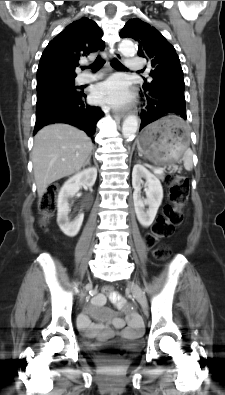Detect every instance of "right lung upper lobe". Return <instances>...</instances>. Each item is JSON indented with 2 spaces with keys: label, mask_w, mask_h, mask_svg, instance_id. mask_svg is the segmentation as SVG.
I'll return each mask as SVG.
<instances>
[{
  "label": "right lung upper lobe",
  "mask_w": 225,
  "mask_h": 395,
  "mask_svg": "<svg viewBox=\"0 0 225 395\" xmlns=\"http://www.w3.org/2000/svg\"><path fill=\"white\" fill-rule=\"evenodd\" d=\"M102 30L86 17L69 24L45 48L37 70V87L74 80L81 57L104 49Z\"/></svg>",
  "instance_id": "cb5924a9"
}]
</instances>
